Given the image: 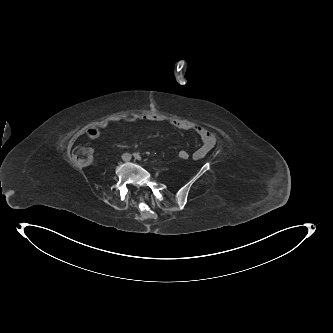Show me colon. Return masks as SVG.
Masks as SVG:
<instances>
[{"mask_svg": "<svg viewBox=\"0 0 333 333\" xmlns=\"http://www.w3.org/2000/svg\"><path fill=\"white\" fill-rule=\"evenodd\" d=\"M179 160L186 161L190 158V152L185 149H180L176 154ZM72 159L74 163L81 167H86L90 165L93 161V151L87 147H77L72 154Z\"/></svg>", "mask_w": 333, "mask_h": 333, "instance_id": "5ec220e1", "label": "colon"}]
</instances>
